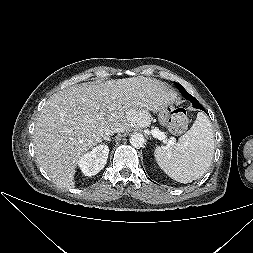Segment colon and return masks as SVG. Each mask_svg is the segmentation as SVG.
Wrapping results in <instances>:
<instances>
[{
  "label": "colon",
  "instance_id": "5ec220e1",
  "mask_svg": "<svg viewBox=\"0 0 253 253\" xmlns=\"http://www.w3.org/2000/svg\"><path fill=\"white\" fill-rule=\"evenodd\" d=\"M169 124L168 127L173 133H180L187 128L188 118L185 111L179 107H171L168 109Z\"/></svg>",
  "mask_w": 253,
  "mask_h": 253
}]
</instances>
